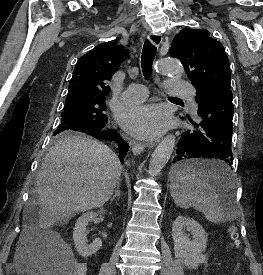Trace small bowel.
I'll return each instance as SVG.
<instances>
[{
  "label": "small bowel",
  "mask_w": 263,
  "mask_h": 275,
  "mask_svg": "<svg viewBox=\"0 0 263 275\" xmlns=\"http://www.w3.org/2000/svg\"><path fill=\"white\" fill-rule=\"evenodd\" d=\"M29 269L31 272H33L32 275H47L46 273V269L44 266L35 263L29 266Z\"/></svg>",
  "instance_id": "c3829d8e"
}]
</instances>
